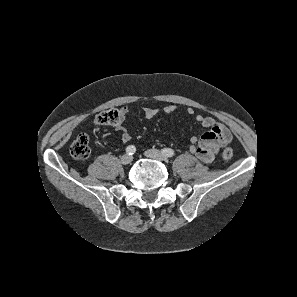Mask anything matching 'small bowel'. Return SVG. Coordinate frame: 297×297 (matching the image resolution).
<instances>
[{
    "label": "small bowel",
    "instance_id": "small-bowel-1",
    "mask_svg": "<svg viewBox=\"0 0 297 297\" xmlns=\"http://www.w3.org/2000/svg\"><path fill=\"white\" fill-rule=\"evenodd\" d=\"M121 121L128 113L127 107H122L120 110ZM176 111L174 105H167L164 107V113L170 115ZM189 115H195V111L192 108L187 110ZM158 114V109L156 108H146L144 110V116L147 119H152ZM195 120L199 122L204 127L209 130L205 132L199 142L196 144V140L192 139V145L190 147V152L195 154L201 161L209 163L211 162L216 153L220 148L230 142L231 133L230 131L218 124L216 120L211 116L195 115ZM119 122L115 127L117 130L122 132L123 143H128L132 136L123 126L122 122Z\"/></svg>",
    "mask_w": 297,
    "mask_h": 297
}]
</instances>
